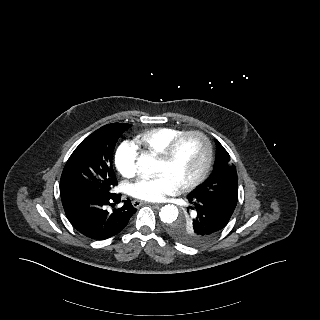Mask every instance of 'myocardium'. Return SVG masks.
<instances>
[{
    "label": "myocardium",
    "instance_id": "myocardium-1",
    "mask_svg": "<svg viewBox=\"0 0 320 320\" xmlns=\"http://www.w3.org/2000/svg\"><path fill=\"white\" fill-rule=\"evenodd\" d=\"M188 137H198L203 142L205 156H204L203 166L199 174L193 179L179 185L178 186L179 191L190 190L196 187L197 185H199L200 183H202L207 177L213 161L212 143L209 137L205 133L199 130L185 131L182 134H180L178 137H176L167 145V147L164 149V151L160 155H158V159L166 163L172 161L179 146Z\"/></svg>",
    "mask_w": 320,
    "mask_h": 320
}]
</instances>
